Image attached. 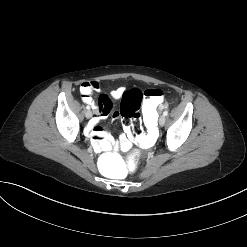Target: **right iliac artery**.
<instances>
[{
  "mask_svg": "<svg viewBox=\"0 0 247 247\" xmlns=\"http://www.w3.org/2000/svg\"><path fill=\"white\" fill-rule=\"evenodd\" d=\"M86 109H87V110H90V106H86Z\"/></svg>",
  "mask_w": 247,
  "mask_h": 247,
  "instance_id": "82829eb1",
  "label": "right iliac artery"
}]
</instances>
